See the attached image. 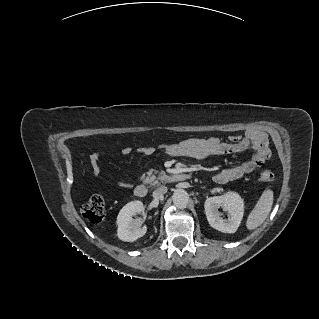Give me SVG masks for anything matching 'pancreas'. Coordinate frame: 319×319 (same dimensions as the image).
<instances>
[{
    "label": "pancreas",
    "mask_w": 319,
    "mask_h": 319,
    "mask_svg": "<svg viewBox=\"0 0 319 319\" xmlns=\"http://www.w3.org/2000/svg\"><path fill=\"white\" fill-rule=\"evenodd\" d=\"M167 182V176L163 171L150 170L144 177V183L150 186H159Z\"/></svg>",
    "instance_id": "cf45deb5"
}]
</instances>
